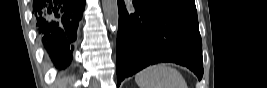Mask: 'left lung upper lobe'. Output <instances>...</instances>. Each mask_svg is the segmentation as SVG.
Masks as SVG:
<instances>
[{
    "label": "left lung upper lobe",
    "instance_id": "5c2ea615",
    "mask_svg": "<svg viewBox=\"0 0 267 88\" xmlns=\"http://www.w3.org/2000/svg\"><path fill=\"white\" fill-rule=\"evenodd\" d=\"M146 8L183 13L197 18L195 0H134Z\"/></svg>",
    "mask_w": 267,
    "mask_h": 88
}]
</instances>
